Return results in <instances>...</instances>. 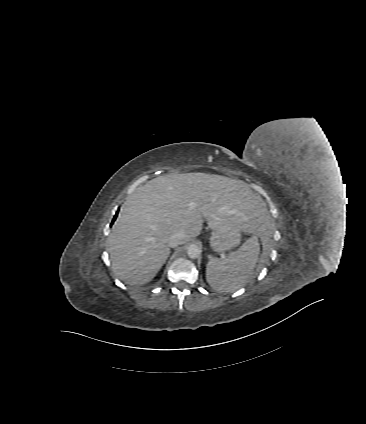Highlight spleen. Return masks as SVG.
Returning a JSON list of instances; mask_svg holds the SVG:
<instances>
[{
  "label": "spleen",
  "instance_id": "1",
  "mask_svg": "<svg viewBox=\"0 0 366 424\" xmlns=\"http://www.w3.org/2000/svg\"><path fill=\"white\" fill-rule=\"evenodd\" d=\"M259 252L258 238L252 236L228 257L211 258L206 267L207 282L220 292L236 291L254 276Z\"/></svg>",
  "mask_w": 366,
  "mask_h": 424
}]
</instances>
